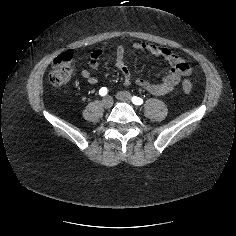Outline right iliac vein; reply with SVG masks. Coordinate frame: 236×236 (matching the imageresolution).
<instances>
[{"label": "right iliac vein", "mask_w": 236, "mask_h": 236, "mask_svg": "<svg viewBox=\"0 0 236 236\" xmlns=\"http://www.w3.org/2000/svg\"><path fill=\"white\" fill-rule=\"evenodd\" d=\"M102 105H103V107L106 108V109L111 108L112 105H113V99H112V97H110V96L104 97L103 100H102Z\"/></svg>", "instance_id": "63e3f726"}]
</instances>
